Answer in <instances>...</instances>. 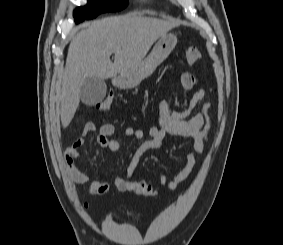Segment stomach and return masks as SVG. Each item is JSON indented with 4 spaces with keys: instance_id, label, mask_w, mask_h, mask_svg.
I'll return each mask as SVG.
<instances>
[{
    "instance_id": "obj_1",
    "label": "stomach",
    "mask_w": 283,
    "mask_h": 245,
    "mask_svg": "<svg viewBox=\"0 0 283 245\" xmlns=\"http://www.w3.org/2000/svg\"><path fill=\"white\" fill-rule=\"evenodd\" d=\"M177 44V37L173 34L162 36L151 53L133 69L120 74L115 84L123 89L133 88L156 70V68L169 56Z\"/></svg>"
}]
</instances>
